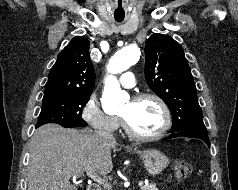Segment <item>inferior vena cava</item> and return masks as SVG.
Listing matches in <instances>:
<instances>
[{
	"label": "inferior vena cava",
	"instance_id": "inferior-vena-cava-1",
	"mask_svg": "<svg viewBox=\"0 0 238 190\" xmlns=\"http://www.w3.org/2000/svg\"><path fill=\"white\" fill-rule=\"evenodd\" d=\"M97 135L100 138L104 139V140H108V141H114L115 140L113 135L109 132H106V131H98Z\"/></svg>",
	"mask_w": 238,
	"mask_h": 190
}]
</instances>
